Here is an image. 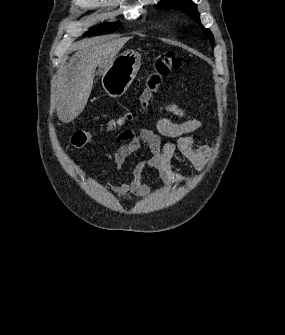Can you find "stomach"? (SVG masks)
<instances>
[{
	"label": "stomach",
	"instance_id": "0dacf381",
	"mask_svg": "<svg viewBox=\"0 0 285 335\" xmlns=\"http://www.w3.org/2000/svg\"><path fill=\"white\" fill-rule=\"evenodd\" d=\"M141 56L134 50H126L112 60L102 76V86L110 98H120L131 86L139 68Z\"/></svg>",
	"mask_w": 285,
	"mask_h": 335
}]
</instances>
